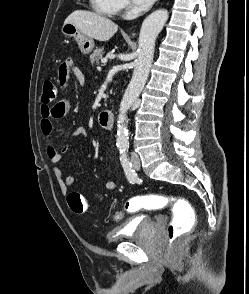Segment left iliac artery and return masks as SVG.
Here are the masks:
<instances>
[{
    "label": "left iliac artery",
    "mask_w": 249,
    "mask_h": 294,
    "mask_svg": "<svg viewBox=\"0 0 249 294\" xmlns=\"http://www.w3.org/2000/svg\"><path fill=\"white\" fill-rule=\"evenodd\" d=\"M120 161L129 182L130 183L138 182L139 179L135 171L132 169V163L129 161V158H128V147L126 146L120 148Z\"/></svg>",
    "instance_id": "1"
}]
</instances>
